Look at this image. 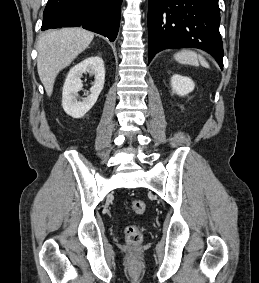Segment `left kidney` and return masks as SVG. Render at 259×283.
I'll return each mask as SVG.
<instances>
[{
	"label": "left kidney",
	"instance_id": "5707ae66",
	"mask_svg": "<svg viewBox=\"0 0 259 283\" xmlns=\"http://www.w3.org/2000/svg\"><path fill=\"white\" fill-rule=\"evenodd\" d=\"M171 86L174 93L179 96H185L194 90V82L189 77L181 75H173L171 78Z\"/></svg>",
	"mask_w": 259,
	"mask_h": 283
}]
</instances>
